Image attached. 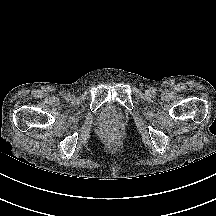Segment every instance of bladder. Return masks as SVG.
Instances as JSON below:
<instances>
[{
  "label": "bladder",
  "mask_w": 216,
  "mask_h": 216,
  "mask_svg": "<svg viewBox=\"0 0 216 216\" xmlns=\"http://www.w3.org/2000/svg\"><path fill=\"white\" fill-rule=\"evenodd\" d=\"M99 116L102 121L107 123L120 122L123 119L121 112L112 103H106Z\"/></svg>",
  "instance_id": "bladder-1"
}]
</instances>
